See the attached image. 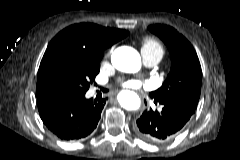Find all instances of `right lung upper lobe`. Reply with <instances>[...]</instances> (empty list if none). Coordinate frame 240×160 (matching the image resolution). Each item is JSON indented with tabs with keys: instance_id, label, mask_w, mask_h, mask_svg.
Listing matches in <instances>:
<instances>
[{
	"instance_id": "1",
	"label": "right lung upper lobe",
	"mask_w": 240,
	"mask_h": 160,
	"mask_svg": "<svg viewBox=\"0 0 240 160\" xmlns=\"http://www.w3.org/2000/svg\"><path fill=\"white\" fill-rule=\"evenodd\" d=\"M128 35L127 31L115 28H104L91 23H80L69 26L59 32L49 43L42 58L36 86L37 99L47 97L40 84V74L52 61L56 60L61 51L68 49L85 55L103 56L106 48Z\"/></svg>"
}]
</instances>
